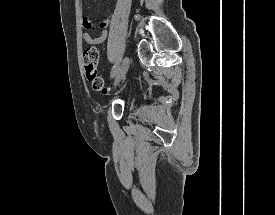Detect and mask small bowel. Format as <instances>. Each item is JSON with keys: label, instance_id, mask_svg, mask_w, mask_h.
Instances as JSON below:
<instances>
[{"label": "small bowel", "instance_id": "obj_1", "mask_svg": "<svg viewBox=\"0 0 275 215\" xmlns=\"http://www.w3.org/2000/svg\"><path fill=\"white\" fill-rule=\"evenodd\" d=\"M93 25H94V21L92 19L85 18L83 20V27L84 28L90 29V28L93 27ZM108 25H109V21L107 19L99 22L100 28L103 29V31H102V33L99 37H93L90 33H84L83 37H82L84 43H86L88 45H98V44L103 43L106 40L107 35H108V32L106 30Z\"/></svg>", "mask_w": 275, "mask_h": 215}]
</instances>
